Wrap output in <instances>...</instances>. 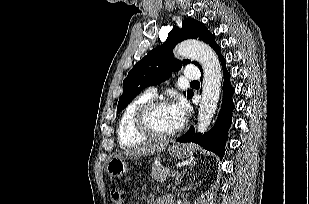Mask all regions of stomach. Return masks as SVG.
Returning <instances> with one entry per match:
<instances>
[{"mask_svg": "<svg viewBox=\"0 0 309 204\" xmlns=\"http://www.w3.org/2000/svg\"><path fill=\"white\" fill-rule=\"evenodd\" d=\"M196 147L193 144H173L169 146L168 151L171 157L176 159H185L195 152ZM130 157L127 155H116L112 157L106 165V171L111 177L119 178L127 174L131 168Z\"/></svg>", "mask_w": 309, "mask_h": 204, "instance_id": "obj_1", "label": "stomach"}]
</instances>
